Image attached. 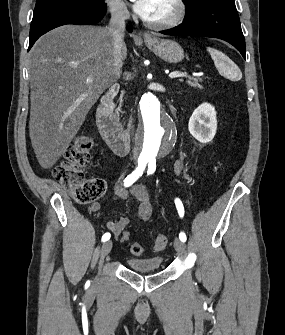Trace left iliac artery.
<instances>
[{"mask_svg": "<svg viewBox=\"0 0 285 335\" xmlns=\"http://www.w3.org/2000/svg\"><path fill=\"white\" fill-rule=\"evenodd\" d=\"M155 170H156V160L155 159H150L148 161V171H147V173L152 174V173L155 172ZM175 204H176V208L178 210V213H179L180 217H183L184 216V207H183V204L180 201V199L176 198L175 199ZM179 238L182 242H185L186 239H187L185 233H183V232H181L179 234Z\"/></svg>", "mask_w": 285, "mask_h": 335, "instance_id": "44dca946", "label": "left iliac artery"}]
</instances>
